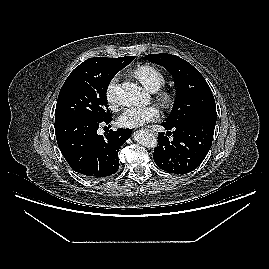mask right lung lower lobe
Listing matches in <instances>:
<instances>
[{
	"mask_svg": "<svg viewBox=\"0 0 269 269\" xmlns=\"http://www.w3.org/2000/svg\"><path fill=\"white\" fill-rule=\"evenodd\" d=\"M85 117H66L55 120V134L59 149L77 173L89 180L103 179L119 169L118 151L130 137V129L110 130L98 135L101 124Z\"/></svg>",
	"mask_w": 269,
	"mask_h": 269,
	"instance_id": "1",
	"label": "right lung lower lobe"
}]
</instances>
